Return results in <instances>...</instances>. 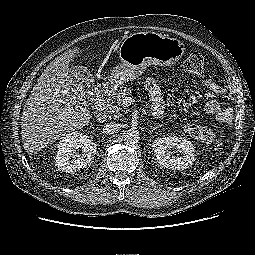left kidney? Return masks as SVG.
<instances>
[{
    "label": "left kidney",
    "mask_w": 255,
    "mask_h": 255,
    "mask_svg": "<svg viewBox=\"0 0 255 255\" xmlns=\"http://www.w3.org/2000/svg\"><path fill=\"white\" fill-rule=\"evenodd\" d=\"M153 150L161 166L173 170H185L193 165L195 148L186 138L169 136L167 138H158L152 143ZM178 147L181 156H171L168 148Z\"/></svg>",
    "instance_id": "1"
}]
</instances>
